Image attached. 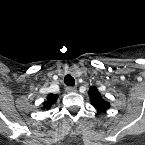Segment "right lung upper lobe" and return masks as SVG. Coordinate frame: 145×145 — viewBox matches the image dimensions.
<instances>
[{"mask_svg": "<svg viewBox=\"0 0 145 145\" xmlns=\"http://www.w3.org/2000/svg\"><path fill=\"white\" fill-rule=\"evenodd\" d=\"M58 96L54 94H49L47 97V101L43 104V107L48 109L50 106L56 102Z\"/></svg>", "mask_w": 145, "mask_h": 145, "instance_id": "right-lung-upper-lobe-1", "label": "right lung upper lobe"}]
</instances>
